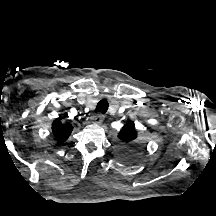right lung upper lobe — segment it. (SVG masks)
<instances>
[{
    "label": "right lung upper lobe",
    "instance_id": "obj_1",
    "mask_svg": "<svg viewBox=\"0 0 216 216\" xmlns=\"http://www.w3.org/2000/svg\"><path fill=\"white\" fill-rule=\"evenodd\" d=\"M72 130L73 126L71 124H64L60 119H55L52 123V133L59 144L68 139Z\"/></svg>",
    "mask_w": 216,
    "mask_h": 216
}]
</instances>
